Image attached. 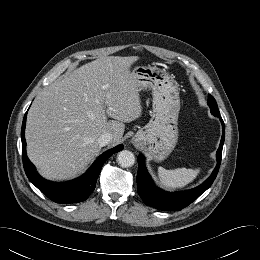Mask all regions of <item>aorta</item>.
<instances>
[{
    "label": "aorta",
    "instance_id": "aorta-1",
    "mask_svg": "<svg viewBox=\"0 0 260 260\" xmlns=\"http://www.w3.org/2000/svg\"><path fill=\"white\" fill-rule=\"evenodd\" d=\"M117 162L121 167H131L135 163V156L129 150H122L117 155Z\"/></svg>",
    "mask_w": 260,
    "mask_h": 260
}]
</instances>
